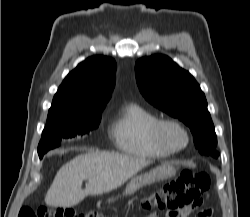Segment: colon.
<instances>
[{
  "mask_svg": "<svg viewBox=\"0 0 250 217\" xmlns=\"http://www.w3.org/2000/svg\"><path fill=\"white\" fill-rule=\"evenodd\" d=\"M211 177L207 172H195L184 170L180 175L146 198L142 205L145 209L158 208L167 211L168 215H174L188 208H200L201 197L209 189ZM206 213L211 217V209H201L196 217ZM18 217H104L97 211L76 214L67 208H42L34 211L23 207Z\"/></svg>",
  "mask_w": 250,
  "mask_h": 217,
  "instance_id": "5ec220e1",
  "label": "colon"
}]
</instances>
